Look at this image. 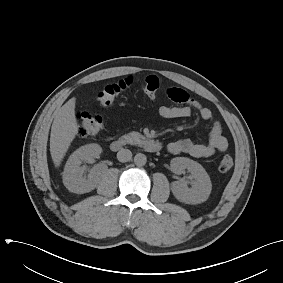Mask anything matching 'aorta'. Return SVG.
I'll use <instances>...</instances> for the list:
<instances>
[{
    "mask_svg": "<svg viewBox=\"0 0 283 283\" xmlns=\"http://www.w3.org/2000/svg\"><path fill=\"white\" fill-rule=\"evenodd\" d=\"M147 162V158L146 155L142 154V153H138L135 155L134 157V163L137 166H144Z\"/></svg>",
    "mask_w": 283,
    "mask_h": 283,
    "instance_id": "1",
    "label": "aorta"
}]
</instances>
